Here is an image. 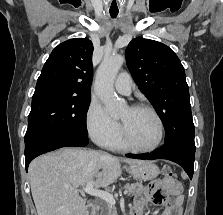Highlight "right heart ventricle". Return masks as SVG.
I'll use <instances>...</instances> for the list:
<instances>
[{
  "label": "right heart ventricle",
  "instance_id": "right-heart-ventricle-1",
  "mask_svg": "<svg viewBox=\"0 0 223 215\" xmlns=\"http://www.w3.org/2000/svg\"><path fill=\"white\" fill-rule=\"evenodd\" d=\"M106 147L113 151H124L125 148L118 139V135L109 140L106 144Z\"/></svg>",
  "mask_w": 223,
  "mask_h": 215
}]
</instances>
